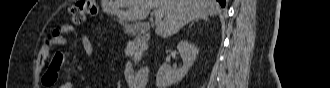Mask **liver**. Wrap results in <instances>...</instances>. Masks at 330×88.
I'll list each match as a JSON object with an SVG mask.
<instances>
[{
    "label": "liver",
    "instance_id": "1",
    "mask_svg": "<svg viewBox=\"0 0 330 88\" xmlns=\"http://www.w3.org/2000/svg\"><path fill=\"white\" fill-rule=\"evenodd\" d=\"M101 6L105 13L116 16L121 24L144 20L152 8L163 11L164 19L157 25L155 33L164 38L176 34L194 19L220 12L215 0H102ZM126 27L132 30L135 25Z\"/></svg>",
    "mask_w": 330,
    "mask_h": 88
}]
</instances>
